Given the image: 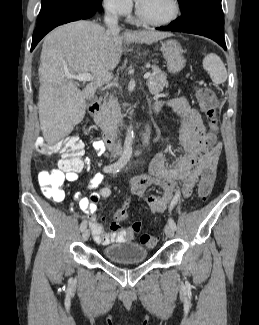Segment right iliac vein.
Returning a JSON list of instances; mask_svg holds the SVG:
<instances>
[{"label": "right iliac vein", "instance_id": "right-iliac-vein-1", "mask_svg": "<svg viewBox=\"0 0 259 325\" xmlns=\"http://www.w3.org/2000/svg\"><path fill=\"white\" fill-rule=\"evenodd\" d=\"M89 236H90V231H89V229H84V230H83V233H82L83 240H84V241H87V240L89 239Z\"/></svg>", "mask_w": 259, "mask_h": 325}]
</instances>
